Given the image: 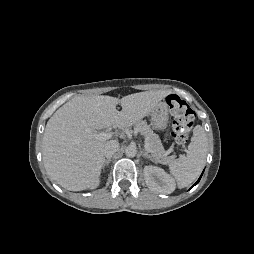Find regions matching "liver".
Masks as SVG:
<instances>
[{
  "label": "liver",
  "instance_id": "obj_1",
  "mask_svg": "<svg viewBox=\"0 0 254 254\" xmlns=\"http://www.w3.org/2000/svg\"><path fill=\"white\" fill-rule=\"evenodd\" d=\"M171 94L167 90L124 96H77L60 107L48 120L43 137V162L50 177L67 190L94 186L105 162L108 140L95 138L103 128L126 129L148 116ZM121 104L122 110L116 109Z\"/></svg>",
  "mask_w": 254,
  "mask_h": 254
}]
</instances>
